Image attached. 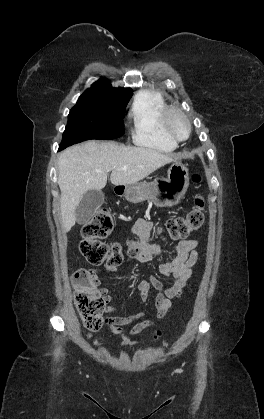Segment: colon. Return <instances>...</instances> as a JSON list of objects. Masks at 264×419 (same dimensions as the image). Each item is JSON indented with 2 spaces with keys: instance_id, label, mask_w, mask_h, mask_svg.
<instances>
[{
  "instance_id": "1",
  "label": "colon",
  "mask_w": 264,
  "mask_h": 419,
  "mask_svg": "<svg viewBox=\"0 0 264 419\" xmlns=\"http://www.w3.org/2000/svg\"><path fill=\"white\" fill-rule=\"evenodd\" d=\"M194 182L200 181V176H192ZM203 199L195 198V208L185 216L171 218L166 222L168 235L175 240L187 237L191 232L198 230L204 220ZM114 228L111 214L102 210L98 212L82 228V240L79 245L81 254L94 265L105 263L110 268H117L123 261V247L120 243L106 244L102 241ZM141 243L132 239L128 243V253L136 257L141 253ZM75 291L77 310L84 325L91 331L98 330L103 325V313L107 301L98 290L97 284L86 271L76 272L72 278Z\"/></svg>"
}]
</instances>
